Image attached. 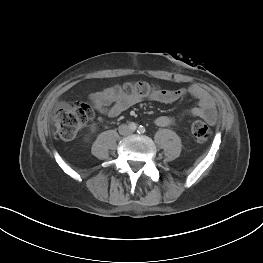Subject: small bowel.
Listing matches in <instances>:
<instances>
[{"label": "small bowel", "instance_id": "1", "mask_svg": "<svg viewBox=\"0 0 263 263\" xmlns=\"http://www.w3.org/2000/svg\"><path fill=\"white\" fill-rule=\"evenodd\" d=\"M188 94L197 100V106L187 110L185 114L202 118L208 123L214 124L217 119L214 100L208 91L198 84H192L187 88L157 90L149 95V98L160 103L170 104ZM90 98L95 108L109 117L120 115L142 99L141 97L124 93H115L113 89L96 92ZM175 122L176 118L169 115H160L155 119V124L160 127H167Z\"/></svg>", "mask_w": 263, "mask_h": 263}]
</instances>
